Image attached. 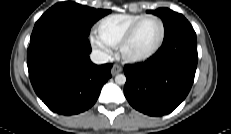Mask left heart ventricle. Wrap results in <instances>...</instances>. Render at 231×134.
<instances>
[{
  "mask_svg": "<svg viewBox=\"0 0 231 134\" xmlns=\"http://www.w3.org/2000/svg\"><path fill=\"white\" fill-rule=\"evenodd\" d=\"M161 36V25L156 19L145 20L131 42L127 45L125 53L129 56H141L150 52L158 43Z\"/></svg>",
  "mask_w": 231,
  "mask_h": 134,
  "instance_id": "b2bd125f",
  "label": "left heart ventricle"
}]
</instances>
